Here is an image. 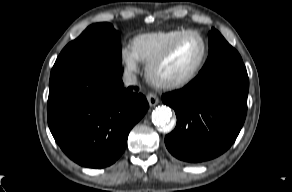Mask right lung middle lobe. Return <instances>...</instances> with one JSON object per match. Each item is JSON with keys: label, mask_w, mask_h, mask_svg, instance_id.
Wrapping results in <instances>:
<instances>
[{"label": "right lung middle lobe", "mask_w": 292, "mask_h": 192, "mask_svg": "<svg viewBox=\"0 0 292 192\" xmlns=\"http://www.w3.org/2000/svg\"><path fill=\"white\" fill-rule=\"evenodd\" d=\"M67 55H102L121 64L119 32L109 23L93 24L70 42L59 56Z\"/></svg>", "instance_id": "1"}]
</instances>
